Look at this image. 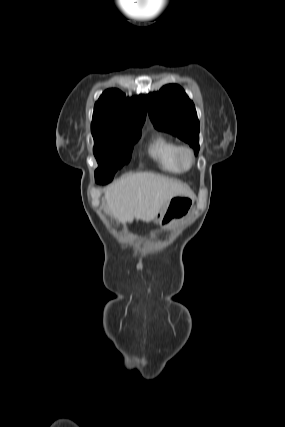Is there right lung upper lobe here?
<instances>
[{"label":"right lung upper lobe","mask_w":285,"mask_h":427,"mask_svg":"<svg viewBox=\"0 0 285 427\" xmlns=\"http://www.w3.org/2000/svg\"><path fill=\"white\" fill-rule=\"evenodd\" d=\"M145 117L143 95L126 98L118 89H108L95 103L91 129L141 128Z\"/></svg>","instance_id":"right-lung-upper-lobe-1"}]
</instances>
